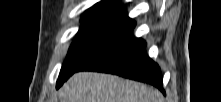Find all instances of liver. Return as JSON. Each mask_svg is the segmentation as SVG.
I'll return each mask as SVG.
<instances>
[{
	"instance_id": "6515ba94",
	"label": "liver",
	"mask_w": 221,
	"mask_h": 102,
	"mask_svg": "<svg viewBox=\"0 0 221 102\" xmlns=\"http://www.w3.org/2000/svg\"><path fill=\"white\" fill-rule=\"evenodd\" d=\"M61 102H162V94L145 84L115 75L79 72L64 84Z\"/></svg>"
}]
</instances>
